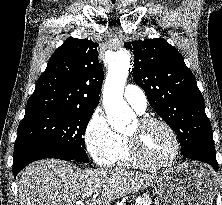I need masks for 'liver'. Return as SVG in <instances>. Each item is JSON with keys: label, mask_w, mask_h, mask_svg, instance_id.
<instances>
[{"label": "liver", "mask_w": 222, "mask_h": 205, "mask_svg": "<svg viewBox=\"0 0 222 205\" xmlns=\"http://www.w3.org/2000/svg\"><path fill=\"white\" fill-rule=\"evenodd\" d=\"M157 176L120 168L73 171L64 160L46 159L27 166L18 182L20 205H109L113 200L150 186Z\"/></svg>", "instance_id": "obj_1"}]
</instances>
